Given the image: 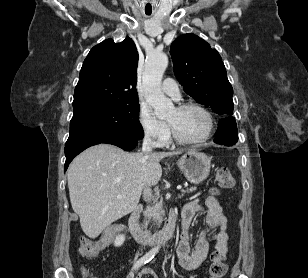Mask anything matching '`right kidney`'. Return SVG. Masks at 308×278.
<instances>
[{"mask_svg":"<svg viewBox=\"0 0 308 278\" xmlns=\"http://www.w3.org/2000/svg\"><path fill=\"white\" fill-rule=\"evenodd\" d=\"M125 241V236L124 235H118L114 241V245L116 247L121 246Z\"/></svg>","mask_w":308,"mask_h":278,"instance_id":"1","label":"right kidney"}]
</instances>
